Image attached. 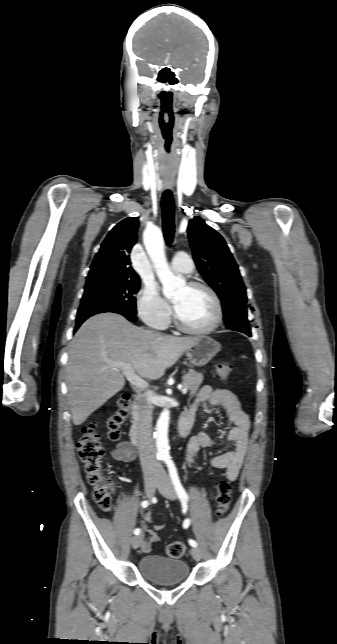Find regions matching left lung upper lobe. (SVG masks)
Here are the masks:
<instances>
[{
	"mask_svg": "<svg viewBox=\"0 0 337 644\" xmlns=\"http://www.w3.org/2000/svg\"><path fill=\"white\" fill-rule=\"evenodd\" d=\"M187 233L198 271L222 302L227 328L252 336L246 288L225 240L198 216L190 220Z\"/></svg>",
	"mask_w": 337,
	"mask_h": 644,
	"instance_id": "left-lung-upper-lobe-1",
	"label": "left lung upper lobe"
}]
</instances>
